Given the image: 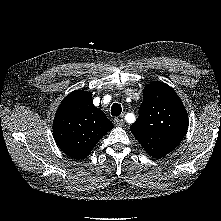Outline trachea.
Listing matches in <instances>:
<instances>
[{"mask_svg":"<svg viewBox=\"0 0 221 221\" xmlns=\"http://www.w3.org/2000/svg\"><path fill=\"white\" fill-rule=\"evenodd\" d=\"M122 112V107L118 103H114L111 107V114L113 116H119Z\"/></svg>","mask_w":221,"mask_h":221,"instance_id":"1","label":"trachea"}]
</instances>
